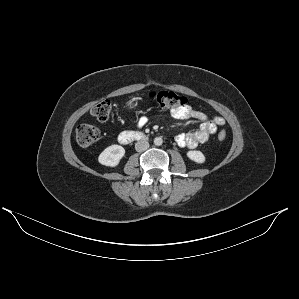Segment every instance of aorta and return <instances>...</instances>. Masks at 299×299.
<instances>
[{
  "instance_id": "762f6f07",
  "label": "aorta",
  "mask_w": 299,
  "mask_h": 299,
  "mask_svg": "<svg viewBox=\"0 0 299 299\" xmlns=\"http://www.w3.org/2000/svg\"><path fill=\"white\" fill-rule=\"evenodd\" d=\"M162 143H163V140H162L161 137H156V138L154 139V144H155L156 146H160V145H162Z\"/></svg>"
}]
</instances>
